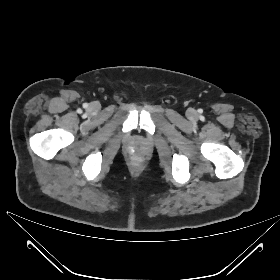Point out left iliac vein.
I'll return each mask as SVG.
<instances>
[{
    "instance_id": "4c4485c4",
    "label": "left iliac vein",
    "mask_w": 280,
    "mask_h": 280,
    "mask_svg": "<svg viewBox=\"0 0 280 280\" xmlns=\"http://www.w3.org/2000/svg\"><path fill=\"white\" fill-rule=\"evenodd\" d=\"M188 114H189V116H191V117H193V116L195 115V113H194L193 110H190Z\"/></svg>"
}]
</instances>
